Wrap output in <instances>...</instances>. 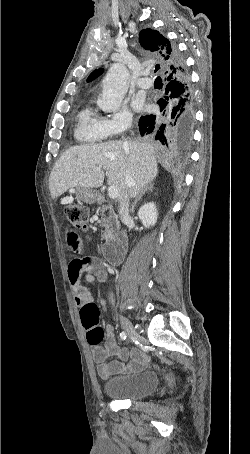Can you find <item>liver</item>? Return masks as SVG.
I'll use <instances>...</instances> for the list:
<instances>
[{"label": "liver", "mask_w": 250, "mask_h": 454, "mask_svg": "<svg viewBox=\"0 0 250 454\" xmlns=\"http://www.w3.org/2000/svg\"><path fill=\"white\" fill-rule=\"evenodd\" d=\"M104 171L108 185L118 189L120 201L126 193L134 198L158 174L155 149L140 141L127 142L126 150L123 141L71 147L60 156L51 171V196L57 198L71 188L100 187ZM127 171L131 176L130 188L125 182Z\"/></svg>", "instance_id": "obj_1"}]
</instances>
